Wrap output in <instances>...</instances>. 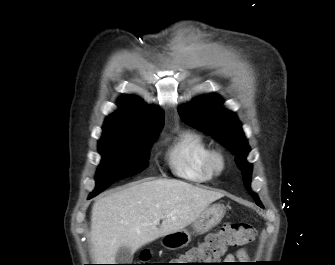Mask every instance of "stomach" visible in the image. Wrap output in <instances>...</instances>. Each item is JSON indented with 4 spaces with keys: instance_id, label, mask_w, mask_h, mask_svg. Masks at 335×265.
<instances>
[{
    "instance_id": "obj_1",
    "label": "stomach",
    "mask_w": 335,
    "mask_h": 265,
    "mask_svg": "<svg viewBox=\"0 0 335 265\" xmlns=\"http://www.w3.org/2000/svg\"><path fill=\"white\" fill-rule=\"evenodd\" d=\"M225 206L219 203L209 205L192 222L194 232L203 234L217 226L225 215ZM191 240V232L182 229L162 236L161 244L170 250H175L186 246Z\"/></svg>"
}]
</instances>
